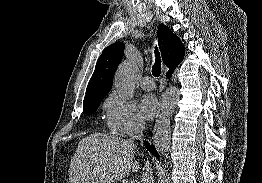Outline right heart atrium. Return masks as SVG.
Wrapping results in <instances>:
<instances>
[{"mask_svg": "<svg viewBox=\"0 0 262 183\" xmlns=\"http://www.w3.org/2000/svg\"><path fill=\"white\" fill-rule=\"evenodd\" d=\"M106 124L115 134L132 136L145 127V121L135 104L111 93L105 100Z\"/></svg>", "mask_w": 262, "mask_h": 183, "instance_id": "d8ad5b80", "label": "right heart atrium"}]
</instances>
